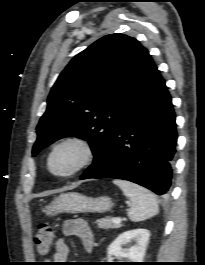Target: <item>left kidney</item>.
I'll return each instance as SVG.
<instances>
[{
  "label": "left kidney",
  "mask_w": 205,
  "mask_h": 265,
  "mask_svg": "<svg viewBox=\"0 0 205 265\" xmlns=\"http://www.w3.org/2000/svg\"><path fill=\"white\" fill-rule=\"evenodd\" d=\"M149 237V231L141 228L123 232L109 245L107 255L128 258L131 262H142ZM127 243L130 247L123 249L122 245Z\"/></svg>",
  "instance_id": "left-kidney-1"
}]
</instances>
